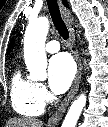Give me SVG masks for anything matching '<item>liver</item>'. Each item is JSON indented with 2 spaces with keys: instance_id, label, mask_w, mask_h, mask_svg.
I'll list each match as a JSON object with an SVG mask.
<instances>
[{
  "instance_id": "obj_1",
  "label": "liver",
  "mask_w": 108,
  "mask_h": 127,
  "mask_svg": "<svg viewBox=\"0 0 108 127\" xmlns=\"http://www.w3.org/2000/svg\"><path fill=\"white\" fill-rule=\"evenodd\" d=\"M41 120L36 118H11L6 123L5 127H42Z\"/></svg>"
}]
</instances>
